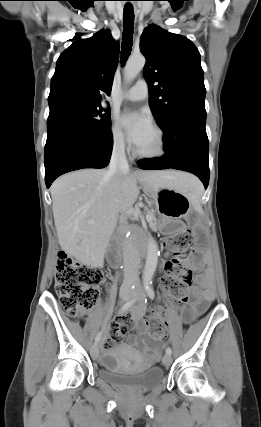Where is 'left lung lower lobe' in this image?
Here are the masks:
<instances>
[{
  "label": "left lung lower lobe",
  "mask_w": 261,
  "mask_h": 427,
  "mask_svg": "<svg viewBox=\"0 0 261 427\" xmlns=\"http://www.w3.org/2000/svg\"><path fill=\"white\" fill-rule=\"evenodd\" d=\"M206 111L182 109L161 128L165 155L138 162L142 169L174 168L195 174L205 188L209 183V142L205 130Z\"/></svg>",
  "instance_id": "0a47b994"
}]
</instances>
